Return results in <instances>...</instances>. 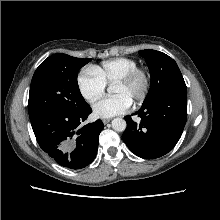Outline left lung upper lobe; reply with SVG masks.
I'll return each mask as SVG.
<instances>
[{
    "label": "left lung upper lobe",
    "mask_w": 220,
    "mask_h": 220,
    "mask_svg": "<svg viewBox=\"0 0 220 220\" xmlns=\"http://www.w3.org/2000/svg\"><path fill=\"white\" fill-rule=\"evenodd\" d=\"M145 58L151 76L150 89L143 102L146 105L166 93L186 89L176 62L163 52L146 49L139 51Z\"/></svg>",
    "instance_id": "obj_1"
}]
</instances>
